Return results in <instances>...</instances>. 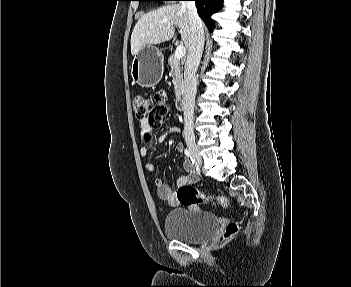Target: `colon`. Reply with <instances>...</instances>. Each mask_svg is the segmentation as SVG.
Instances as JSON below:
<instances>
[{
	"instance_id": "1",
	"label": "colon",
	"mask_w": 351,
	"mask_h": 287,
	"mask_svg": "<svg viewBox=\"0 0 351 287\" xmlns=\"http://www.w3.org/2000/svg\"><path fill=\"white\" fill-rule=\"evenodd\" d=\"M167 98L168 94L165 91H159L153 97L143 93L136 94L133 104L137 118L146 119L150 127L159 128L168 112ZM177 200L180 204L186 206L195 203L225 206L230 203L225 197L202 192L191 185L179 187ZM238 230V224L230 222L225 228L223 240H229Z\"/></svg>"
}]
</instances>
